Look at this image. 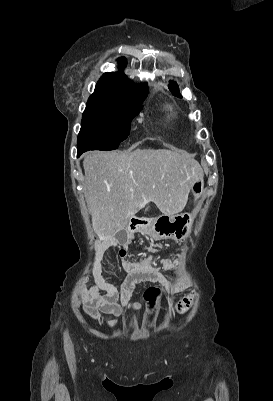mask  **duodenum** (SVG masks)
<instances>
[{"label": "duodenum", "mask_w": 273, "mask_h": 401, "mask_svg": "<svg viewBox=\"0 0 273 401\" xmlns=\"http://www.w3.org/2000/svg\"><path fill=\"white\" fill-rule=\"evenodd\" d=\"M147 224V220L142 217L134 216L127 225V230L131 233L143 229Z\"/></svg>", "instance_id": "duodenum-1"}]
</instances>
